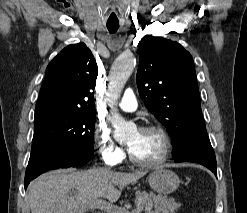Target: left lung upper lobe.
Instances as JSON below:
<instances>
[{
    "instance_id": "obj_1",
    "label": "left lung upper lobe",
    "mask_w": 247,
    "mask_h": 213,
    "mask_svg": "<svg viewBox=\"0 0 247 213\" xmlns=\"http://www.w3.org/2000/svg\"><path fill=\"white\" fill-rule=\"evenodd\" d=\"M138 53L139 94L166 127L175 154L193 134L207 133L193 58L177 42L150 35L141 39Z\"/></svg>"
}]
</instances>
